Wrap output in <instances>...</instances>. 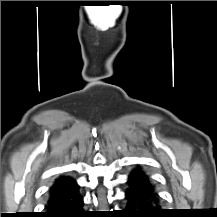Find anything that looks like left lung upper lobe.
Segmentation results:
<instances>
[{
    "label": "left lung upper lobe",
    "mask_w": 217,
    "mask_h": 217,
    "mask_svg": "<svg viewBox=\"0 0 217 217\" xmlns=\"http://www.w3.org/2000/svg\"><path fill=\"white\" fill-rule=\"evenodd\" d=\"M136 171L137 172H139V173H141V174H143V175H145L141 170H139V169H136ZM146 176V175H145Z\"/></svg>",
    "instance_id": "5c2ea615"
}]
</instances>
